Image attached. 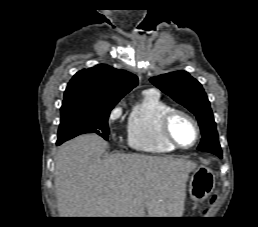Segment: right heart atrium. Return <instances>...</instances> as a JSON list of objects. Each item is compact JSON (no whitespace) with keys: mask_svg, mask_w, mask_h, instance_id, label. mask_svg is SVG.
Masks as SVG:
<instances>
[{"mask_svg":"<svg viewBox=\"0 0 258 227\" xmlns=\"http://www.w3.org/2000/svg\"><path fill=\"white\" fill-rule=\"evenodd\" d=\"M120 114H121V108L120 107L114 108L110 114L109 123L112 124L115 120H117Z\"/></svg>","mask_w":258,"mask_h":227,"instance_id":"right-heart-atrium-1","label":"right heart atrium"}]
</instances>
